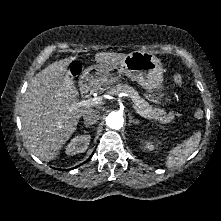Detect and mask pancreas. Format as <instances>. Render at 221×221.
Masks as SVG:
<instances>
[{"label":"pancreas","mask_w":221,"mask_h":221,"mask_svg":"<svg viewBox=\"0 0 221 221\" xmlns=\"http://www.w3.org/2000/svg\"><path fill=\"white\" fill-rule=\"evenodd\" d=\"M127 93L132 97L134 106L142 111L148 118L158 120L162 124H168L174 119V113H165L163 109L153 108L147 101L141 98L138 92L128 84H117L109 90L111 95H119L120 93Z\"/></svg>","instance_id":"1"}]
</instances>
